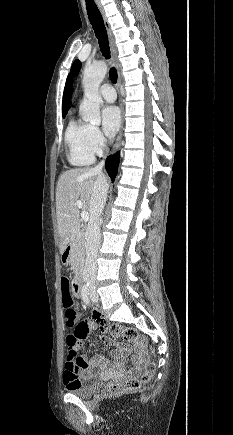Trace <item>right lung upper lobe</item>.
<instances>
[{
	"instance_id": "1",
	"label": "right lung upper lobe",
	"mask_w": 233,
	"mask_h": 435,
	"mask_svg": "<svg viewBox=\"0 0 233 435\" xmlns=\"http://www.w3.org/2000/svg\"><path fill=\"white\" fill-rule=\"evenodd\" d=\"M72 92V82L70 75H68L63 93L62 115H66L68 112L71 103Z\"/></svg>"
}]
</instances>
